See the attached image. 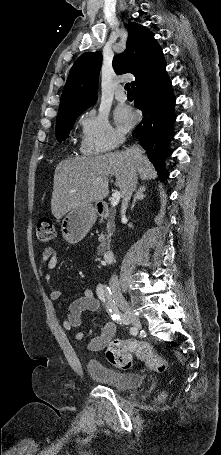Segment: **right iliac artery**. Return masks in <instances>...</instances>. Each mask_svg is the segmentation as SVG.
I'll use <instances>...</instances> for the list:
<instances>
[{"label": "right iliac artery", "instance_id": "1", "mask_svg": "<svg viewBox=\"0 0 221 455\" xmlns=\"http://www.w3.org/2000/svg\"><path fill=\"white\" fill-rule=\"evenodd\" d=\"M96 292L98 298L104 303L106 311L111 316V318L120 324H128L126 315L121 314L118 310L117 305L112 297L110 288L106 285L99 284L97 286ZM130 334H132V337H137V329H130Z\"/></svg>", "mask_w": 221, "mask_h": 455}]
</instances>
